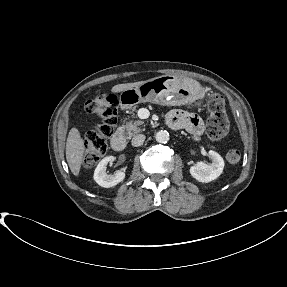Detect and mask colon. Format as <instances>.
<instances>
[{
  "instance_id": "colon-1",
  "label": "colon",
  "mask_w": 287,
  "mask_h": 287,
  "mask_svg": "<svg viewBox=\"0 0 287 287\" xmlns=\"http://www.w3.org/2000/svg\"><path fill=\"white\" fill-rule=\"evenodd\" d=\"M209 113L207 133L212 140H219L226 136L229 121L225 112V102L221 95L212 94L207 102ZM88 113L97 116L101 123L90 130L84 138V165L92 167L107 151L108 139L113 135L117 123L118 100L112 94L99 93L86 104ZM229 163H238L241 152L231 148L226 153Z\"/></svg>"
}]
</instances>
